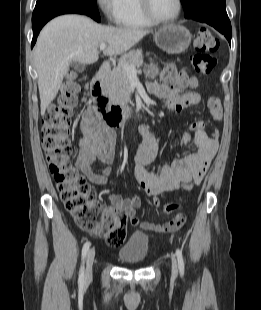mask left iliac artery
<instances>
[{"instance_id":"obj_1","label":"left iliac artery","mask_w":261,"mask_h":310,"mask_svg":"<svg viewBox=\"0 0 261 310\" xmlns=\"http://www.w3.org/2000/svg\"><path fill=\"white\" fill-rule=\"evenodd\" d=\"M176 256L178 260V267H179L180 274L181 276H183L184 275V260H183L181 250L179 249L176 250Z\"/></svg>"}]
</instances>
